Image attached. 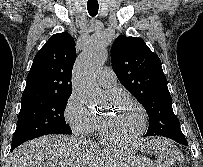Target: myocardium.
<instances>
[{
    "mask_svg": "<svg viewBox=\"0 0 203 167\" xmlns=\"http://www.w3.org/2000/svg\"><path fill=\"white\" fill-rule=\"evenodd\" d=\"M111 95L114 97H119L126 100L128 103L133 105L140 112L141 126L139 130L131 137H128V138L118 137L112 134L111 131L108 129L104 118L99 117V128L102 136L111 142L119 143V144H128L139 140L146 132L147 125H148V114L145 108L137 100H135L134 98H132L130 95H128L123 91H114L111 93Z\"/></svg>",
    "mask_w": 203,
    "mask_h": 167,
    "instance_id": "obj_1",
    "label": "myocardium"
}]
</instances>
